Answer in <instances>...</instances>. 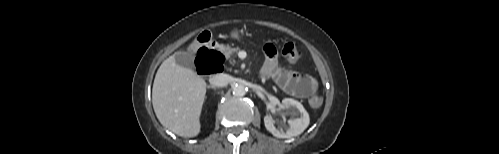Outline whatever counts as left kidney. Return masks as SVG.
I'll list each match as a JSON object with an SVG mask.
<instances>
[{"label":"left kidney","mask_w":499,"mask_h":154,"mask_svg":"<svg viewBox=\"0 0 499 154\" xmlns=\"http://www.w3.org/2000/svg\"><path fill=\"white\" fill-rule=\"evenodd\" d=\"M282 105L285 108H291L295 115L300 113V117L290 119L288 121L289 128L284 131L282 127L276 128L272 117L265 116L264 124L266 129L272 133L273 136L278 138H291L300 135L309 125L310 118L308 112L303 105L292 98H285L282 100Z\"/></svg>","instance_id":"obj_1"}]
</instances>
